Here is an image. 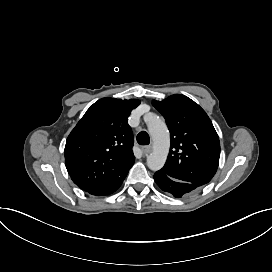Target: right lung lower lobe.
<instances>
[{
	"label": "right lung lower lobe",
	"instance_id": "obj_1",
	"mask_svg": "<svg viewBox=\"0 0 272 272\" xmlns=\"http://www.w3.org/2000/svg\"><path fill=\"white\" fill-rule=\"evenodd\" d=\"M127 173L125 175H123L119 180H117L114 184L105 187V188H101V189H97V190H92L89 191V194L95 195V196H105V195H110L113 192H115L122 184L123 180L125 179Z\"/></svg>",
	"mask_w": 272,
	"mask_h": 272
}]
</instances>
